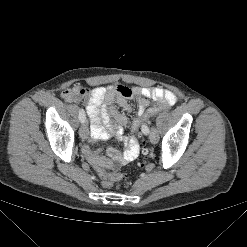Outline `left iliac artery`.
I'll return each instance as SVG.
<instances>
[{"label":"left iliac artery","mask_w":247,"mask_h":247,"mask_svg":"<svg viewBox=\"0 0 247 247\" xmlns=\"http://www.w3.org/2000/svg\"><path fill=\"white\" fill-rule=\"evenodd\" d=\"M144 126V125H143ZM143 126H142V129H143ZM150 131H149V128H148V126L144 129V133L145 134H148Z\"/></svg>","instance_id":"left-iliac-artery-1"}]
</instances>
